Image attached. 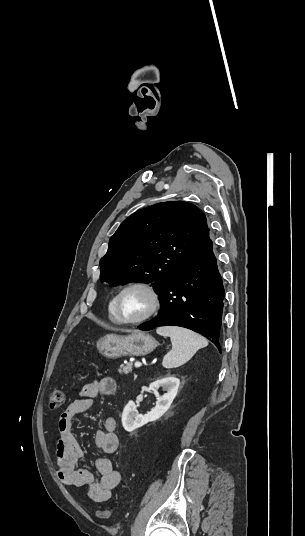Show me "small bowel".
Segmentation results:
<instances>
[{
	"instance_id": "obj_1",
	"label": "small bowel",
	"mask_w": 305,
	"mask_h": 536,
	"mask_svg": "<svg viewBox=\"0 0 305 536\" xmlns=\"http://www.w3.org/2000/svg\"><path fill=\"white\" fill-rule=\"evenodd\" d=\"M116 388V381L111 377L86 383L81 388L79 397L67 407L58 420L57 459L59 469L57 476L67 486L83 488L88 497L95 502H105L111 498L113 491L121 481V475L108 457H99L95 460L96 470L100 474L99 479H96L87 469H75L83 459L84 452L72 429L79 414L91 408L96 396L99 394L112 395ZM115 429V418L107 417L103 421V429L94 434L96 447L105 454H112L118 448Z\"/></svg>"
}]
</instances>
